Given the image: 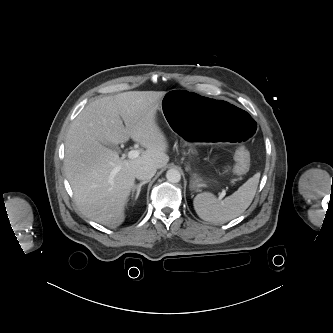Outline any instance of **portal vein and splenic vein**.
Listing matches in <instances>:
<instances>
[{"label": "portal vein and splenic vein", "instance_id": "obj_1", "mask_svg": "<svg viewBox=\"0 0 333 333\" xmlns=\"http://www.w3.org/2000/svg\"><path fill=\"white\" fill-rule=\"evenodd\" d=\"M139 155H140V151L139 150H131V151H129L128 152V158H130V159H135V158H137V157H139ZM114 172H116V170H114ZM225 191H223L220 195H219V199L221 200V199H223L224 198V196H225Z\"/></svg>", "mask_w": 333, "mask_h": 333}]
</instances>
